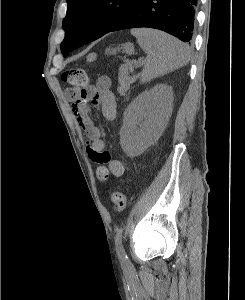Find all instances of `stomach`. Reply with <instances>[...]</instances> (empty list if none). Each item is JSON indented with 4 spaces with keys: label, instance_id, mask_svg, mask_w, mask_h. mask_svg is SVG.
I'll return each mask as SVG.
<instances>
[{
    "label": "stomach",
    "instance_id": "0dacf381",
    "mask_svg": "<svg viewBox=\"0 0 245 300\" xmlns=\"http://www.w3.org/2000/svg\"><path fill=\"white\" fill-rule=\"evenodd\" d=\"M121 49L123 50V52H125L127 54H132L134 52V47H133L132 43H126V44H124L121 47ZM117 51H119V49H116V48L115 49H113V48L111 49V48H109V49L106 50V53L107 54H116Z\"/></svg>",
    "mask_w": 245,
    "mask_h": 300
}]
</instances>
